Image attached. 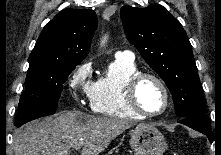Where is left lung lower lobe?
Segmentation results:
<instances>
[{
  "instance_id": "obj_1",
  "label": "left lung lower lobe",
  "mask_w": 221,
  "mask_h": 155,
  "mask_svg": "<svg viewBox=\"0 0 221 155\" xmlns=\"http://www.w3.org/2000/svg\"><path fill=\"white\" fill-rule=\"evenodd\" d=\"M179 123L187 125L188 127L207 135L210 142H212L211 128L206 119L198 117H188L183 118L179 121Z\"/></svg>"
}]
</instances>
